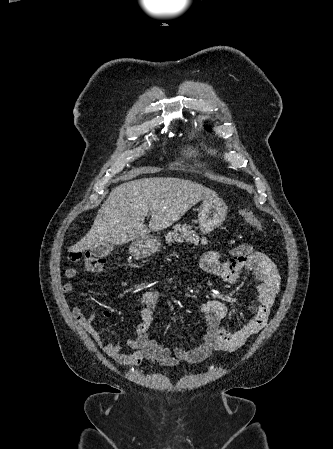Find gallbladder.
<instances>
[{
  "mask_svg": "<svg viewBox=\"0 0 333 449\" xmlns=\"http://www.w3.org/2000/svg\"><path fill=\"white\" fill-rule=\"evenodd\" d=\"M114 250L112 245L100 244L93 249H91V253L98 258L108 256Z\"/></svg>",
  "mask_w": 333,
  "mask_h": 449,
  "instance_id": "1",
  "label": "gallbladder"
}]
</instances>
